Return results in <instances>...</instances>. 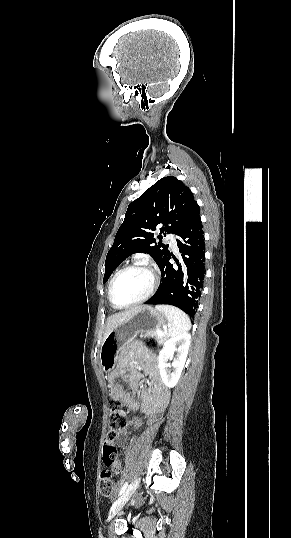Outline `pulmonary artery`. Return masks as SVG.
Listing matches in <instances>:
<instances>
[{"label":"pulmonary artery","mask_w":291,"mask_h":538,"mask_svg":"<svg viewBox=\"0 0 291 538\" xmlns=\"http://www.w3.org/2000/svg\"><path fill=\"white\" fill-rule=\"evenodd\" d=\"M177 237L174 234H168L165 238V241L170 245L171 249L177 250Z\"/></svg>","instance_id":"1"}]
</instances>
